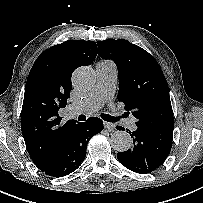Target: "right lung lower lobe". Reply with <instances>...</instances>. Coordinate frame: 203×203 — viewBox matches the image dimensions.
<instances>
[{
    "mask_svg": "<svg viewBox=\"0 0 203 203\" xmlns=\"http://www.w3.org/2000/svg\"><path fill=\"white\" fill-rule=\"evenodd\" d=\"M103 130V121L91 117L86 122H76L70 126L54 158L39 169L53 177H63L75 171L86 156L89 140Z\"/></svg>",
    "mask_w": 203,
    "mask_h": 203,
    "instance_id": "obj_1",
    "label": "right lung lower lobe"
}]
</instances>
